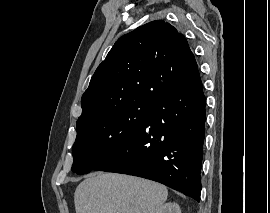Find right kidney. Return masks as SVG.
<instances>
[{
	"label": "right kidney",
	"instance_id": "ca27d5eb",
	"mask_svg": "<svg viewBox=\"0 0 270 213\" xmlns=\"http://www.w3.org/2000/svg\"><path fill=\"white\" fill-rule=\"evenodd\" d=\"M156 213H181L180 206L175 202L162 205Z\"/></svg>",
	"mask_w": 270,
	"mask_h": 213
}]
</instances>
